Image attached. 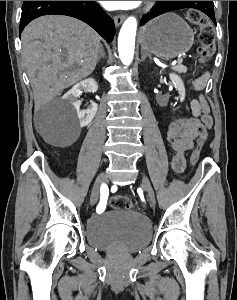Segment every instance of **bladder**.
I'll list each match as a JSON object with an SVG mask.
<instances>
[{"label": "bladder", "mask_w": 237, "mask_h": 300, "mask_svg": "<svg viewBox=\"0 0 237 300\" xmlns=\"http://www.w3.org/2000/svg\"><path fill=\"white\" fill-rule=\"evenodd\" d=\"M152 238L150 221L128 210L107 211L91 216L86 225L88 243L101 251L135 253Z\"/></svg>", "instance_id": "obj_1"}]
</instances>
